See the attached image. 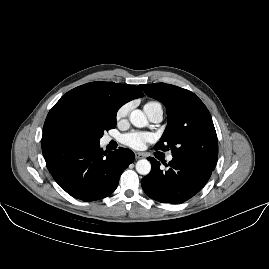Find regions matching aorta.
<instances>
[{"instance_id":"1","label":"aorta","mask_w":269,"mask_h":269,"mask_svg":"<svg viewBox=\"0 0 269 269\" xmlns=\"http://www.w3.org/2000/svg\"><path fill=\"white\" fill-rule=\"evenodd\" d=\"M130 122L135 127H144L147 123L145 113L140 109H135L130 112ZM136 171L141 175H147L151 171V163L147 159H140L135 165Z\"/></svg>"}]
</instances>
